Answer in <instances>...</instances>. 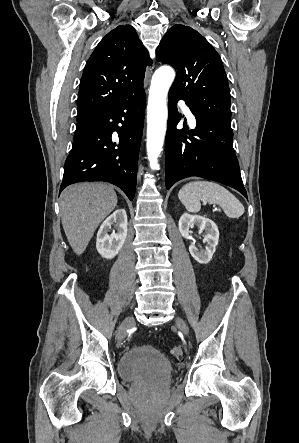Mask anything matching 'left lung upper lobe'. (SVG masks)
Returning a JSON list of instances; mask_svg holds the SVG:
<instances>
[{"instance_id": "5c2ea615", "label": "left lung upper lobe", "mask_w": 299, "mask_h": 443, "mask_svg": "<svg viewBox=\"0 0 299 443\" xmlns=\"http://www.w3.org/2000/svg\"><path fill=\"white\" fill-rule=\"evenodd\" d=\"M156 59L177 75L169 92L193 110L230 125V90L220 56L197 31L174 25L162 38Z\"/></svg>"}]
</instances>
